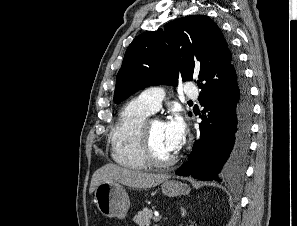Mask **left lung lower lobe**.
<instances>
[{
	"instance_id": "1",
	"label": "left lung lower lobe",
	"mask_w": 297,
	"mask_h": 226,
	"mask_svg": "<svg viewBox=\"0 0 297 226\" xmlns=\"http://www.w3.org/2000/svg\"><path fill=\"white\" fill-rule=\"evenodd\" d=\"M236 65V76L199 86V102L204 106L200 136L189 160L177 174L229 185L242 180L249 150L252 104L237 60Z\"/></svg>"
}]
</instances>
